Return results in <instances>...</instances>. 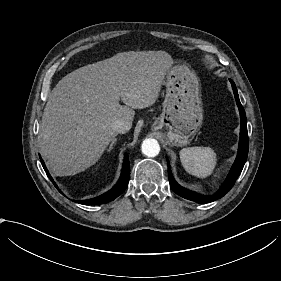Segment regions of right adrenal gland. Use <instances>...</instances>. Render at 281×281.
I'll list each match as a JSON object with an SVG mask.
<instances>
[{
	"label": "right adrenal gland",
	"instance_id": "1",
	"mask_svg": "<svg viewBox=\"0 0 281 281\" xmlns=\"http://www.w3.org/2000/svg\"><path fill=\"white\" fill-rule=\"evenodd\" d=\"M117 142V138H114L109 146V149L107 150L108 152H110L113 149V146L116 144Z\"/></svg>",
	"mask_w": 281,
	"mask_h": 281
}]
</instances>
